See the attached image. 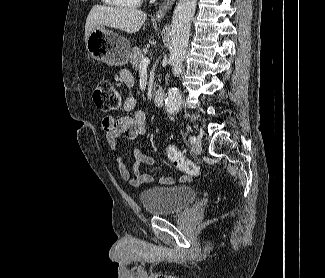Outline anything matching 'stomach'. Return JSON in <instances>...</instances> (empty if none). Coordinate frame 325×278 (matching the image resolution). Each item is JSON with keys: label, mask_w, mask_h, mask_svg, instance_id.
<instances>
[{"label": "stomach", "mask_w": 325, "mask_h": 278, "mask_svg": "<svg viewBox=\"0 0 325 278\" xmlns=\"http://www.w3.org/2000/svg\"><path fill=\"white\" fill-rule=\"evenodd\" d=\"M86 49L92 58L111 66H119L128 62L130 42L100 26L90 32Z\"/></svg>", "instance_id": "0dacf381"}]
</instances>
